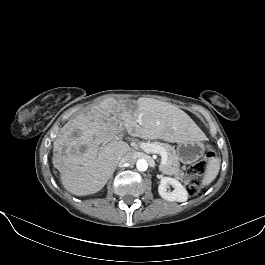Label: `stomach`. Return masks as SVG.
Masks as SVG:
<instances>
[{
    "mask_svg": "<svg viewBox=\"0 0 265 265\" xmlns=\"http://www.w3.org/2000/svg\"><path fill=\"white\" fill-rule=\"evenodd\" d=\"M204 150L199 140H185L178 143L176 153L180 162L191 164L203 156Z\"/></svg>",
    "mask_w": 265,
    "mask_h": 265,
    "instance_id": "1",
    "label": "stomach"
}]
</instances>
